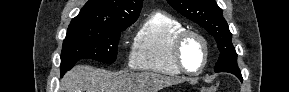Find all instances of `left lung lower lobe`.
Here are the masks:
<instances>
[{"mask_svg": "<svg viewBox=\"0 0 289 92\" xmlns=\"http://www.w3.org/2000/svg\"><path fill=\"white\" fill-rule=\"evenodd\" d=\"M235 75H236L241 81L243 80L241 74H235Z\"/></svg>", "mask_w": 289, "mask_h": 92, "instance_id": "0a47b994", "label": "left lung lower lobe"}]
</instances>
